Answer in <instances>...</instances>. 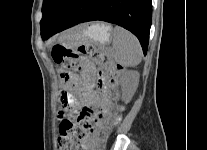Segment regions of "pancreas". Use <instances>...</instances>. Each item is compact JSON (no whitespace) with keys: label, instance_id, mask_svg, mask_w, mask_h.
I'll use <instances>...</instances> for the list:
<instances>
[{"label":"pancreas","instance_id":"pancreas-1","mask_svg":"<svg viewBox=\"0 0 207 150\" xmlns=\"http://www.w3.org/2000/svg\"><path fill=\"white\" fill-rule=\"evenodd\" d=\"M106 55H107L109 58H111V54H109L108 52L106 53Z\"/></svg>","mask_w":207,"mask_h":150}]
</instances>
